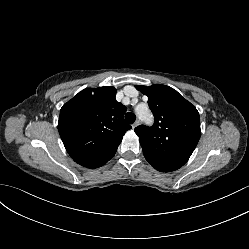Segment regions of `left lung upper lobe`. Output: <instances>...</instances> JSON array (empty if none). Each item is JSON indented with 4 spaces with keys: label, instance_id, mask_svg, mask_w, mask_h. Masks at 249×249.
Wrapping results in <instances>:
<instances>
[{
    "label": "left lung upper lobe",
    "instance_id": "5c2ea615",
    "mask_svg": "<svg viewBox=\"0 0 249 249\" xmlns=\"http://www.w3.org/2000/svg\"><path fill=\"white\" fill-rule=\"evenodd\" d=\"M135 87L148 96L155 117L153 126L135 128L146 160L154 168L179 169L188 161L200 138L197 109L169 86Z\"/></svg>",
    "mask_w": 249,
    "mask_h": 249
}]
</instances>
